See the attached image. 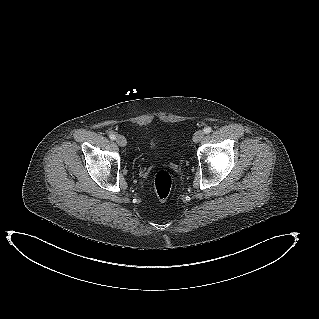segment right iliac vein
Here are the masks:
<instances>
[{
  "mask_svg": "<svg viewBox=\"0 0 319 319\" xmlns=\"http://www.w3.org/2000/svg\"><path fill=\"white\" fill-rule=\"evenodd\" d=\"M116 142L121 147H124L127 144L126 138L124 136H122V135L117 136Z\"/></svg>",
  "mask_w": 319,
  "mask_h": 319,
  "instance_id": "obj_1",
  "label": "right iliac vein"
}]
</instances>
